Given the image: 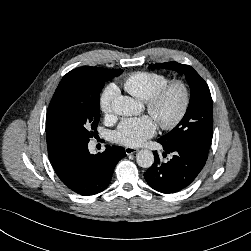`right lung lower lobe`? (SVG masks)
I'll list each match as a JSON object with an SVG mask.
<instances>
[{
    "mask_svg": "<svg viewBox=\"0 0 251 251\" xmlns=\"http://www.w3.org/2000/svg\"><path fill=\"white\" fill-rule=\"evenodd\" d=\"M125 156V150L120 146L106 145L104 152L93 155L88 150V143H69L50 161L67 188L89 196L109 186L116 164Z\"/></svg>",
    "mask_w": 251,
    "mask_h": 251,
    "instance_id": "obj_1",
    "label": "right lung lower lobe"
}]
</instances>
